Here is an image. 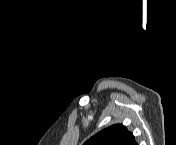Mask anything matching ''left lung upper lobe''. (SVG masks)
I'll return each mask as SVG.
<instances>
[{
	"label": "left lung upper lobe",
	"instance_id": "left-lung-upper-lobe-1",
	"mask_svg": "<svg viewBox=\"0 0 176 145\" xmlns=\"http://www.w3.org/2000/svg\"><path fill=\"white\" fill-rule=\"evenodd\" d=\"M84 145H137V143L125 126L115 124L91 137Z\"/></svg>",
	"mask_w": 176,
	"mask_h": 145
}]
</instances>
